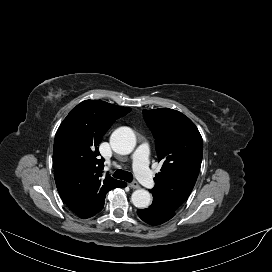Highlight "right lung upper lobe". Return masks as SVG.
I'll list each match as a JSON object with an SVG mask.
<instances>
[{"label":"right lung upper lobe","mask_w":272,"mask_h":272,"mask_svg":"<svg viewBox=\"0 0 272 272\" xmlns=\"http://www.w3.org/2000/svg\"><path fill=\"white\" fill-rule=\"evenodd\" d=\"M131 109L101 100H86L70 111L59 126L53 148L54 176L64 203L80 218L94 216L106 194L120 181L102 177L104 159L97 149L114 120Z\"/></svg>","instance_id":"obj_1"}]
</instances>
